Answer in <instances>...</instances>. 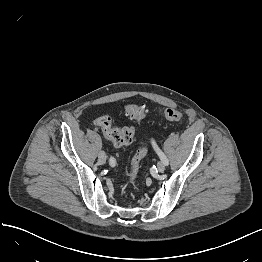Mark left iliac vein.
Listing matches in <instances>:
<instances>
[{"mask_svg":"<svg viewBox=\"0 0 262 262\" xmlns=\"http://www.w3.org/2000/svg\"><path fill=\"white\" fill-rule=\"evenodd\" d=\"M165 165H166V164H165L163 161H159L158 164H157V169H158V171L161 172V173L164 172V170H165Z\"/></svg>","mask_w":262,"mask_h":262,"instance_id":"4c4485c4","label":"left iliac vein"}]
</instances>
